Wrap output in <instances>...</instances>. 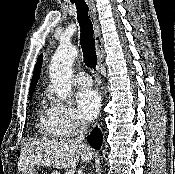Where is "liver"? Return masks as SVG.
I'll use <instances>...</instances> for the list:
<instances>
[{
  "mask_svg": "<svg viewBox=\"0 0 175 174\" xmlns=\"http://www.w3.org/2000/svg\"><path fill=\"white\" fill-rule=\"evenodd\" d=\"M80 159L85 163L93 159V153L85 144L62 137L35 140L22 146L18 171L24 172L35 165L70 169L75 168Z\"/></svg>",
  "mask_w": 175,
  "mask_h": 174,
  "instance_id": "obj_1",
  "label": "liver"
}]
</instances>
